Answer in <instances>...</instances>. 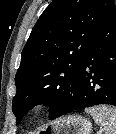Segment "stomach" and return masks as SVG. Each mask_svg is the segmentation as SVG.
<instances>
[{
	"instance_id": "stomach-1",
	"label": "stomach",
	"mask_w": 116,
	"mask_h": 134,
	"mask_svg": "<svg viewBox=\"0 0 116 134\" xmlns=\"http://www.w3.org/2000/svg\"><path fill=\"white\" fill-rule=\"evenodd\" d=\"M91 128L86 118L71 115L47 124L38 134H90Z\"/></svg>"
}]
</instances>
